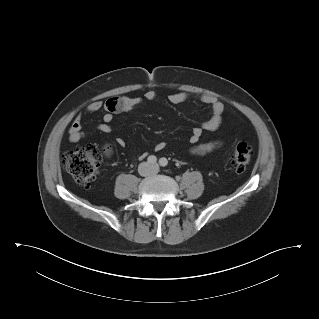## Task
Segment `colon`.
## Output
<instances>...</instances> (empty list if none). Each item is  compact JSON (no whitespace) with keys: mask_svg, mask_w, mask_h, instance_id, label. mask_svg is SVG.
I'll use <instances>...</instances> for the list:
<instances>
[{"mask_svg":"<svg viewBox=\"0 0 319 319\" xmlns=\"http://www.w3.org/2000/svg\"><path fill=\"white\" fill-rule=\"evenodd\" d=\"M115 100L108 102L111 107ZM109 153V148L103 150L87 145L72 152L66 153L62 158L65 170L82 186H89L95 180L103 158ZM251 159V147L244 141H238L232 151V167L237 173H243Z\"/></svg>","mask_w":319,"mask_h":319,"instance_id":"1","label":"colon"}]
</instances>
